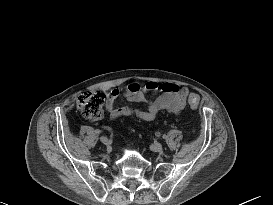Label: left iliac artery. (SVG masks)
<instances>
[{"instance_id":"44dca946","label":"left iliac artery","mask_w":273,"mask_h":205,"mask_svg":"<svg viewBox=\"0 0 273 205\" xmlns=\"http://www.w3.org/2000/svg\"><path fill=\"white\" fill-rule=\"evenodd\" d=\"M167 138V136L166 135H163V139H166Z\"/></svg>"}]
</instances>
